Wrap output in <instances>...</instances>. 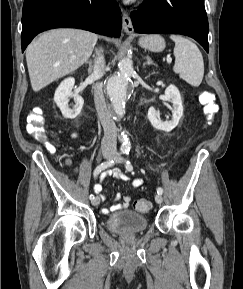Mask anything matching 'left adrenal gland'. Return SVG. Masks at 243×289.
I'll use <instances>...</instances> for the list:
<instances>
[{"label": "left adrenal gland", "instance_id": "a2214340", "mask_svg": "<svg viewBox=\"0 0 243 289\" xmlns=\"http://www.w3.org/2000/svg\"><path fill=\"white\" fill-rule=\"evenodd\" d=\"M145 59H146V62L143 64L144 67L146 65H156L149 56H146Z\"/></svg>", "mask_w": 243, "mask_h": 289}]
</instances>
